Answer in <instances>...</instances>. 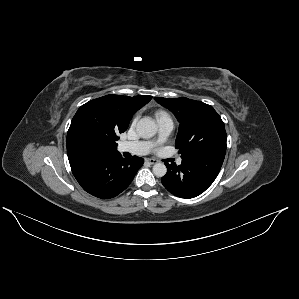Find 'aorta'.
<instances>
[{
  "label": "aorta",
  "mask_w": 299,
  "mask_h": 299,
  "mask_svg": "<svg viewBox=\"0 0 299 299\" xmlns=\"http://www.w3.org/2000/svg\"><path fill=\"white\" fill-rule=\"evenodd\" d=\"M136 131L142 138H150L157 132L156 123L149 117L141 118L136 125ZM153 173L157 177H163L167 173V168L163 163H156L153 166Z\"/></svg>",
  "instance_id": "1"
}]
</instances>
